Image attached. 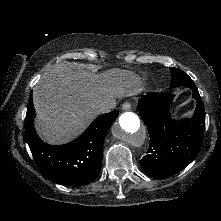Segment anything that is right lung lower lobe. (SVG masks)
Returning a JSON list of instances; mask_svg holds the SVG:
<instances>
[{
    "label": "right lung lower lobe",
    "mask_w": 221,
    "mask_h": 221,
    "mask_svg": "<svg viewBox=\"0 0 221 221\" xmlns=\"http://www.w3.org/2000/svg\"><path fill=\"white\" fill-rule=\"evenodd\" d=\"M34 113L31 92L25 118V133L41 171L49 179L67 186H81L92 182L101 170L104 139L117 118L118 111L98 116L80 137L61 146L48 145L38 137L33 125Z\"/></svg>",
    "instance_id": "obj_1"
}]
</instances>
